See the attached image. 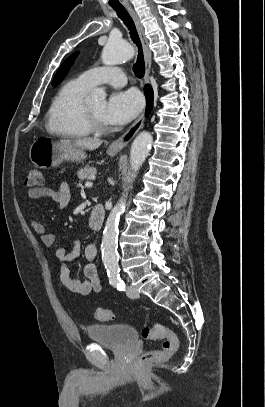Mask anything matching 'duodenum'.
<instances>
[{
	"instance_id": "1",
	"label": "duodenum",
	"mask_w": 265,
	"mask_h": 407,
	"mask_svg": "<svg viewBox=\"0 0 265 407\" xmlns=\"http://www.w3.org/2000/svg\"><path fill=\"white\" fill-rule=\"evenodd\" d=\"M105 210L101 205L92 207L89 213V226L94 229H100L104 223Z\"/></svg>"
}]
</instances>
